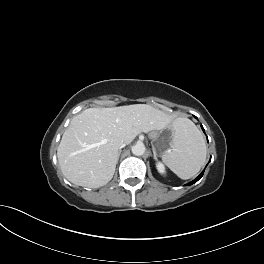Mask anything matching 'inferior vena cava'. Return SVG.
Wrapping results in <instances>:
<instances>
[{
    "label": "inferior vena cava",
    "instance_id": "1",
    "mask_svg": "<svg viewBox=\"0 0 264 264\" xmlns=\"http://www.w3.org/2000/svg\"><path fill=\"white\" fill-rule=\"evenodd\" d=\"M125 145H126V143L124 141H120L119 148L121 149V148L125 147Z\"/></svg>",
    "mask_w": 264,
    "mask_h": 264
}]
</instances>
